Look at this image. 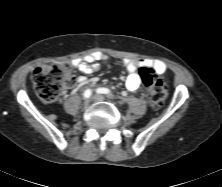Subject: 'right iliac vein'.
<instances>
[{
  "instance_id": "1",
  "label": "right iliac vein",
  "mask_w": 222,
  "mask_h": 187,
  "mask_svg": "<svg viewBox=\"0 0 222 187\" xmlns=\"http://www.w3.org/2000/svg\"><path fill=\"white\" fill-rule=\"evenodd\" d=\"M92 99H93V97L86 99L85 100V105H88Z\"/></svg>"
}]
</instances>
